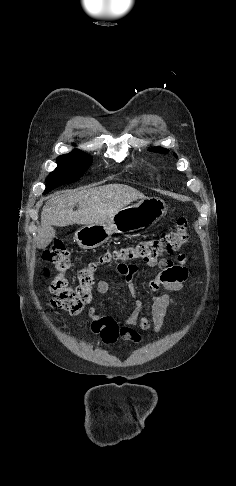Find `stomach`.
Wrapping results in <instances>:
<instances>
[{
	"mask_svg": "<svg viewBox=\"0 0 236 486\" xmlns=\"http://www.w3.org/2000/svg\"><path fill=\"white\" fill-rule=\"evenodd\" d=\"M165 202L148 197L125 206L102 223L84 225L75 232L74 239L82 249H94L107 242L113 233H128L151 227L165 214Z\"/></svg>",
	"mask_w": 236,
	"mask_h": 486,
	"instance_id": "0dacf381",
	"label": "stomach"
}]
</instances>
